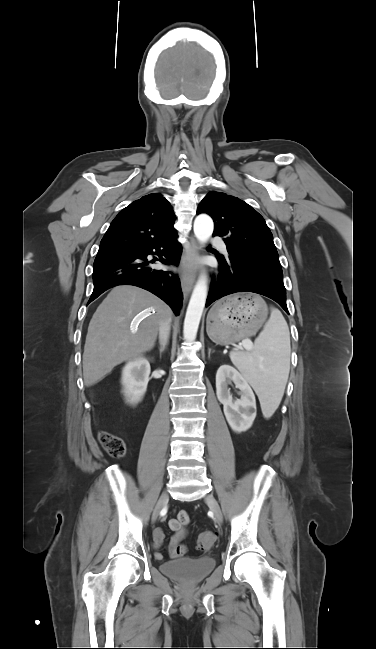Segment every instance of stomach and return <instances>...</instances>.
Returning a JSON list of instances; mask_svg holds the SVG:
<instances>
[{"instance_id": "1", "label": "stomach", "mask_w": 376, "mask_h": 649, "mask_svg": "<svg viewBox=\"0 0 376 649\" xmlns=\"http://www.w3.org/2000/svg\"><path fill=\"white\" fill-rule=\"evenodd\" d=\"M268 315L265 301L253 293L234 294L218 301L209 311L207 333L218 345L254 335Z\"/></svg>"}]
</instances>
